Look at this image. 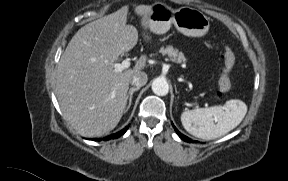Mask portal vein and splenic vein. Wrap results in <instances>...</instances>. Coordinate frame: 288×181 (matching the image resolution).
Returning <instances> with one entry per match:
<instances>
[{
  "label": "portal vein and splenic vein",
  "mask_w": 288,
  "mask_h": 181,
  "mask_svg": "<svg viewBox=\"0 0 288 181\" xmlns=\"http://www.w3.org/2000/svg\"><path fill=\"white\" fill-rule=\"evenodd\" d=\"M131 65V62L129 59H125L122 61V63H114L112 66L115 69L116 72H121L124 69L129 68Z\"/></svg>",
  "instance_id": "1"
}]
</instances>
